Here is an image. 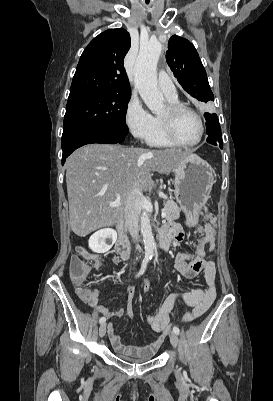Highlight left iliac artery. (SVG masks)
Wrapping results in <instances>:
<instances>
[{
  "mask_svg": "<svg viewBox=\"0 0 273 401\" xmlns=\"http://www.w3.org/2000/svg\"><path fill=\"white\" fill-rule=\"evenodd\" d=\"M173 332H174L175 334H177V335L180 334V330H179V328L176 327V326L173 327Z\"/></svg>",
  "mask_w": 273,
  "mask_h": 401,
  "instance_id": "obj_1",
  "label": "left iliac artery"
}]
</instances>
